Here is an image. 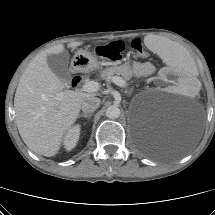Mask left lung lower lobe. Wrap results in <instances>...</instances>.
I'll list each match as a JSON object with an SVG mask.
<instances>
[{
  "label": "left lung lower lobe",
  "mask_w": 215,
  "mask_h": 215,
  "mask_svg": "<svg viewBox=\"0 0 215 215\" xmlns=\"http://www.w3.org/2000/svg\"><path fill=\"white\" fill-rule=\"evenodd\" d=\"M176 153H178V149H176L175 147L170 146L168 149H165L162 152V155L167 157V156L174 155Z\"/></svg>",
  "instance_id": "left-lung-lower-lobe-1"
}]
</instances>
